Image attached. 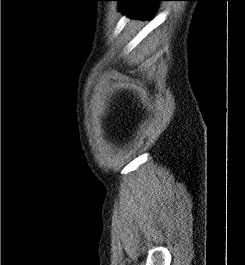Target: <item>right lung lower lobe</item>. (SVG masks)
Wrapping results in <instances>:
<instances>
[{"label":"right lung lower lobe","mask_w":245,"mask_h":265,"mask_svg":"<svg viewBox=\"0 0 245 265\" xmlns=\"http://www.w3.org/2000/svg\"><path fill=\"white\" fill-rule=\"evenodd\" d=\"M122 13L142 19H150L156 11V2L162 0H117Z\"/></svg>","instance_id":"obj_1"}]
</instances>
